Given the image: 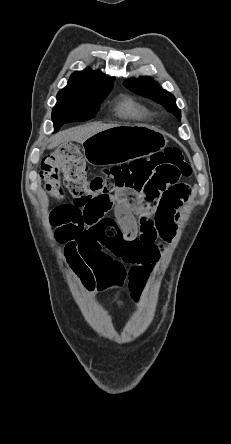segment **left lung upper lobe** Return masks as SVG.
Masks as SVG:
<instances>
[{
    "label": "left lung upper lobe",
    "mask_w": 231,
    "mask_h": 444,
    "mask_svg": "<svg viewBox=\"0 0 231 444\" xmlns=\"http://www.w3.org/2000/svg\"><path fill=\"white\" fill-rule=\"evenodd\" d=\"M124 85L139 95L157 101L179 119L181 118V112L176 106L175 97L159 87L153 78L143 77L139 79H129L125 81Z\"/></svg>",
    "instance_id": "5c2ea615"
}]
</instances>
